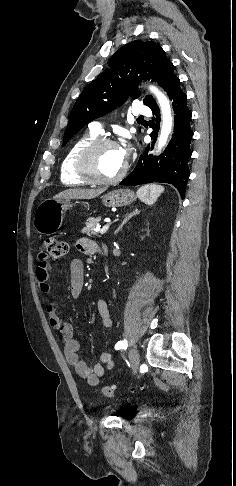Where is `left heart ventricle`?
<instances>
[{
  "instance_id": "obj_1",
  "label": "left heart ventricle",
  "mask_w": 236,
  "mask_h": 486,
  "mask_svg": "<svg viewBox=\"0 0 236 486\" xmlns=\"http://www.w3.org/2000/svg\"><path fill=\"white\" fill-rule=\"evenodd\" d=\"M125 160L121 150L115 146H103L99 148L93 158L95 172L103 178L116 176L123 168Z\"/></svg>"
}]
</instances>
